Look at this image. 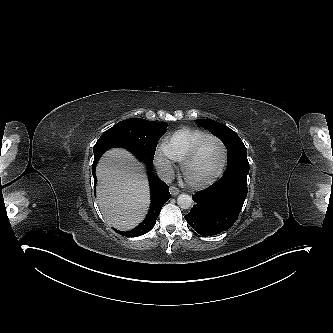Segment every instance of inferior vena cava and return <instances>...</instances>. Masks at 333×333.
I'll return each mask as SVG.
<instances>
[{
    "label": "inferior vena cava",
    "mask_w": 333,
    "mask_h": 333,
    "mask_svg": "<svg viewBox=\"0 0 333 333\" xmlns=\"http://www.w3.org/2000/svg\"><path fill=\"white\" fill-rule=\"evenodd\" d=\"M158 177L165 183H171L174 178V171L169 161H164L157 169Z\"/></svg>",
    "instance_id": "obj_1"
}]
</instances>
